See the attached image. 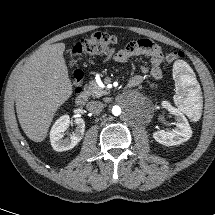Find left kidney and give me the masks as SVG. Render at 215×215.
<instances>
[{"label":"left kidney","mask_w":215,"mask_h":215,"mask_svg":"<svg viewBox=\"0 0 215 215\" xmlns=\"http://www.w3.org/2000/svg\"><path fill=\"white\" fill-rule=\"evenodd\" d=\"M186 67L189 69L187 65ZM162 105L170 114L174 115L176 128L170 132L165 130L154 132L153 138L155 139V141L165 146H172L180 145L183 142L189 140L192 136V130L183 113L175 107H172L167 101L162 102Z\"/></svg>","instance_id":"5707ae66"}]
</instances>
